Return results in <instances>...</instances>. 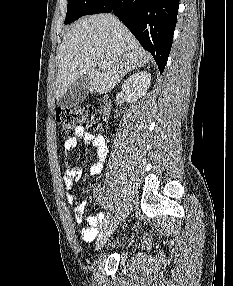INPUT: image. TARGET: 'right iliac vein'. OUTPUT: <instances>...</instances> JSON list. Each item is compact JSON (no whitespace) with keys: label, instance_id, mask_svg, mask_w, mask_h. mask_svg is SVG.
<instances>
[{"label":"right iliac vein","instance_id":"63e3f726","mask_svg":"<svg viewBox=\"0 0 233 286\" xmlns=\"http://www.w3.org/2000/svg\"><path fill=\"white\" fill-rule=\"evenodd\" d=\"M115 227H116V224L113 222H110L107 226H105V228L103 229V231L100 233L98 237V240H97L98 247H101L106 243L107 239L114 232Z\"/></svg>","mask_w":233,"mask_h":286}]
</instances>
